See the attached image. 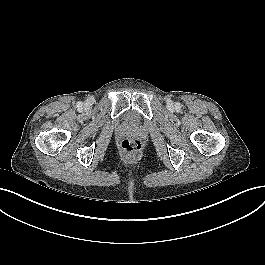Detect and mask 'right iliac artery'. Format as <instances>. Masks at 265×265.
<instances>
[{"label":"right iliac artery","mask_w":265,"mask_h":265,"mask_svg":"<svg viewBox=\"0 0 265 265\" xmlns=\"http://www.w3.org/2000/svg\"><path fill=\"white\" fill-rule=\"evenodd\" d=\"M77 106H78V107H81V106H82L81 102H78V103H77Z\"/></svg>","instance_id":"82829eb1"}]
</instances>
